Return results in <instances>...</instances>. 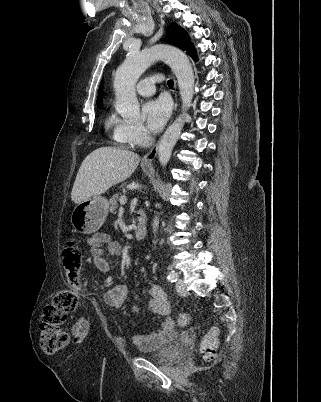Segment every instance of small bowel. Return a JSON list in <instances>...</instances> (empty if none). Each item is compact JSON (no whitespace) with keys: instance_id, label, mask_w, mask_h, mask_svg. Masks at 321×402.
<instances>
[{"instance_id":"small-bowel-1","label":"small bowel","mask_w":321,"mask_h":402,"mask_svg":"<svg viewBox=\"0 0 321 402\" xmlns=\"http://www.w3.org/2000/svg\"><path fill=\"white\" fill-rule=\"evenodd\" d=\"M89 251L94 266L102 271L108 272L111 263L104 257V247L112 256H120L122 253L121 244L112 240L108 234L97 233L88 240ZM148 307L157 316L162 318L160 327L156 331L146 334H132L131 342L141 350H150L175 337L174 321L169 316L170 306L167 295L163 288L158 284H151L148 287ZM128 295V289L123 284H118L104 293L105 304L115 310H119L124 305ZM133 311L139 314L140 309L137 304L133 305ZM75 341H80L87 333V324L84 320H78L71 328Z\"/></svg>"}]
</instances>
